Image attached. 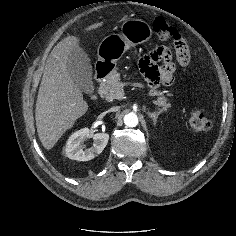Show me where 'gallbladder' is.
Listing matches in <instances>:
<instances>
[{
  "mask_svg": "<svg viewBox=\"0 0 236 236\" xmlns=\"http://www.w3.org/2000/svg\"><path fill=\"white\" fill-rule=\"evenodd\" d=\"M67 70L71 79L84 93L91 94L94 91L92 66L87 53L82 48L78 47L71 51Z\"/></svg>",
  "mask_w": 236,
  "mask_h": 236,
  "instance_id": "bac80fb5",
  "label": "gallbladder"
}]
</instances>
